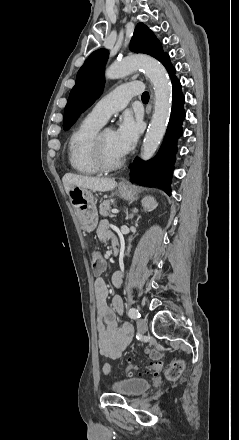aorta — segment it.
Here are the masks:
<instances>
[{"label":"aorta","mask_w":239,"mask_h":440,"mask_svg":"<svg viewBox=\"0 0 239 440\" xmlns=\"http://www.w3.org/2000/svg\"><path fill=\"white\" fill-rule=\"evenodd\" d=\"M138 68H143L147 78L151 80L155 92L154 114L141 152L142 160H150L165 134L170 116L172 86L166 78L164 66L150 56H130L123 62L112 64L110 68H107L105 76L107 80H119Z\"/></svg>","instance_id":"1"}]
</instances>
